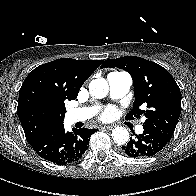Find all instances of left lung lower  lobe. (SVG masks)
Instances as JSON below:
<instances>
[{
  "label": "left lung lower lobe",
  "mask_w": 196,
  "mask_h": 196,
  "mask_svg": "<svg viewBox=\"0 0 196 196\" xmlns=\"http://www.w3.org/2000/svg\"><path fill=\"white\" fill-rule=\"evenodd\" d=\"M134 135L135 139L130 138L127 145L122 146V152L132 158L151 157L162 150L169 142L159 132L150 127H144L142 134Z\"/></svg>",
  "instance_id": "left-lung-lower-lobe-1"
}]
</instances>
